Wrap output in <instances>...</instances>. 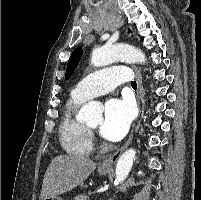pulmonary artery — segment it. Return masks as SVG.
<instances>
[{"label":"pulmonary artery","instance_id":"pulmonary-artery-1","mask_svg":"<svg viewBox=\"0 0 201 200\" xmlns=\"http://www.w3.org/2000/svg\"><path fill=\"white\" fill-rule=\"evenodd\" d=\"M131 79L132 74L125 66L106 68L84 77L74 87L72 94L87 100L106 94L119 84L129 82Z\"/></svg>","mask_w":201,"mask_h":200}]
</instances>
